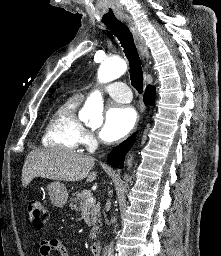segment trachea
Wrapping results in <instances>:
<instances>
[{"mask_svg":"<svg viewBox=\"0 0 221 256\" xmlns=\"http://www.w3.org/2000/svg\"><path fill=\"white\" fill-rule=\"evenodd\" d=\"M105 24L108 29L115 34L124 48L125 56L129 61L131 84L138 91V93L141 94L143 91V71L131 32L124 23L118 20Z\"/></svg>","mask_w":221,"mask_h":256,"instance_id":"obj_1","label":"trachea"}]
</instances>
